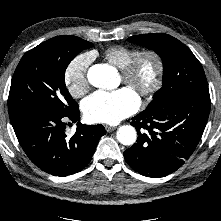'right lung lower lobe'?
<instances>
[{"instance_id": "right-lung-lower-lobe-1", "label": "right lung lower lobe", "mask_w": 221, "mask_h": 221, "mask_svg": "<svg viewBox=\"0 0 221 221\" xmlns=\"http://www.w3.org/2000/svg\"><path fill=\"white\" fill-rule=\"evenodd\" d=\"M79 117L78 108L65 114L32 110L12 116L10 121L28 158L46 173L64 177L81 171L90 162L106 132L102 125L81 124ZM66 119L78 121L72 137L65 133Z\"/></svg>"}]
</instances>
